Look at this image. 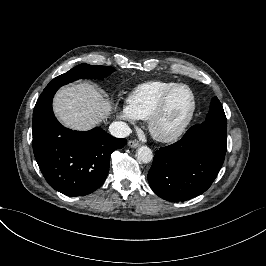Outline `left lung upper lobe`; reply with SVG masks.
<instances>
[{
  "instance_id": "1",
  "label": "left lung upper lobe",
  "mask_w": 266,
  "mask_h": 266,
  "mask_svg": "<svg viewBox=\"0 0 266 266\" xmlns=\"http://www.w3.org/2000/svg\"><path fill=\"white\" fill-rule=\"evenodd\" d=\"M199 125L227 131L226 116L223 107L217 97H214L211 101L210 111L206 117L205 122Z\"/></svg>"
}]
</instances>
